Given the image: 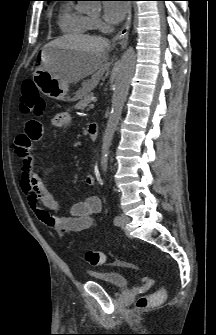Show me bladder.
Masks as SVG:
<instances>
[{
	"label": "bladder",
	"mask_w": 216,
	"mask_h": 335,
	"mask_svg": "<svg viewBox=\"0 0 216 335\" xmlns=\"http://www.w3.org/2000/svg\"><path fill=\"white\" fill-rule=\"evenodd\" d=\"M88 276L92 280L106 284L114 289H124L128 284V275L123 271H89Z\"/></svg>",
	"instance_id": "31cf9c89"
}]
</instances>
